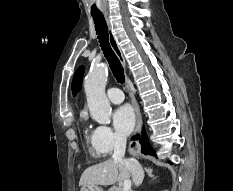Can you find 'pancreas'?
Wrapping results in <instances>:
<instances>
[{
    "label": "pancreas",
    "mask_w": 233,
    "mask_h": 191,
    "mask_svg": "<svg viewBox=\"0 0 233 191\" xmlns=\"http://www.w3.org/2000/svg\"><path fill=\"white\" fill-rule=\"evenodd\" d=\"M109 191H123V188L120 186H113L109 189Z\"/></svg>",
    "instance_id": "obj_1"
}]
</instances>
